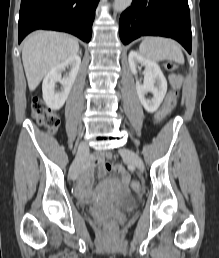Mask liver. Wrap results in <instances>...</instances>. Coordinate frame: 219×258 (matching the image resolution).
Here are the masks:
<instances>
[{"instance_id":"6515ba94","label":"liver","mask_w":219,"mask_h":258,"mask_svg":"<svg viewBox=\"0 0 219 258\" xmlns=\"http://www.w3.org/2000/svg\"><path fill=\"white\" fill-rule=\"evenodd\" d=\"M79 43L73 37L53 31H36L23 44L22 61L30 91L56 65L76 55Z\"/></svg>"}]
</instances>
